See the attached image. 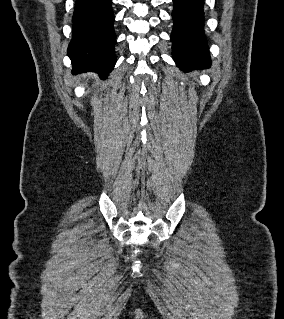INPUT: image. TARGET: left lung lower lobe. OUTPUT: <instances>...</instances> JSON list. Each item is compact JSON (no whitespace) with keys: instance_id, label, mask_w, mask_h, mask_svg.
<instances>
[{"instance_id":"0a47b994","label":"left lung lower lobe","mask_w":284,"mask_h":319,"mask_svg":"<svg viewBox=\"0 0 284 319\" xmlns=\"http://www.w3.org/2000/svg\"><path fill=\"white\" fill-rule=\"evenodd\" d=\"M172 54L183 71L211 65L203 33L204 0H173Z\"/></svg>"}]
</instances>
